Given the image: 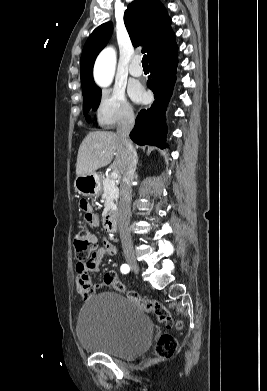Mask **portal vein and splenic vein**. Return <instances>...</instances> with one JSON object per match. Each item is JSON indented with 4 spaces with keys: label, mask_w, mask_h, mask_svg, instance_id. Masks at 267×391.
<instances>
[{
    "label": "portal vein and splenic vein",
    "mask_w": 267,
    "mask_h": 391,
    "mask_svg": "<svg viewBox=\"0 0 267 391\" xmlns=\"http://www.w3.org/2000/svg\"><path fill=\"white\" fill-rule=\"evenodd\" d=\"M113 179H117L119 177L118 172L113 171L110 175Z\"/></svg>",
    "instance_id": "obj_1"
}]
</instances>
